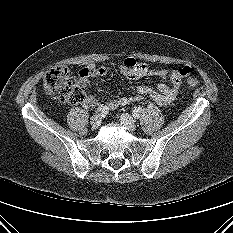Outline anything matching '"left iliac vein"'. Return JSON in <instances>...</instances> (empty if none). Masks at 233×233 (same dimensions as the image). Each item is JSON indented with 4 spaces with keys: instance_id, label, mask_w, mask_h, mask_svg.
<instances>
[{
    "instance_id": "4c4485c4",
    "label": "left iliac vein",
    "mask_w": 233,
    "mask_h": 233,
    "mask_svg": "<svg viewBox=\"0 0 233 233\" xmlns=\"http://www.w3.org/2000/svg\"><path fill=\"white\" fill-rule=\"evenodd\" d=\"M119 120H120L121 124L123 126H125L131 132H134L136 130V128H137L136 122L132 118V116H130L129 114H127V113L121 114Z\"/></svg>"
}]
</instances>
